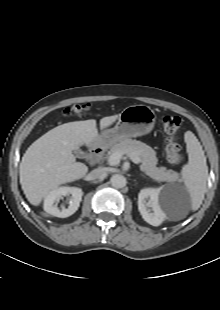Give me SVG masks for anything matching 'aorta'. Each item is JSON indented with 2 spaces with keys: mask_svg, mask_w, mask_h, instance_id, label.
Masks as SVG:
<instances>
[{
  "mask_svg": "<svg viewBox=\"0 0 220 310\" xmlns=\"http://www.w3.org/2000/svg\"><path fill=\"white\" fill-rule=\"evenodd\" d=\"M110 182H111V185L117 189L125 187L127 183L126 178L120 174L113 175L110 179Z\"/></svg>",
  "mask_w": 220,
  "mask_h": 310,
  "instance_id": "obj_1",
  "label": "aorta"
}]
</instances>
